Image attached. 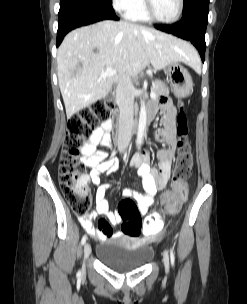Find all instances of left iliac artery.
<instances>
[{"label": "left iliac artery", "instance_id": "obj_1", "mask_svg": "<svg viewBox=\"0 0 247 304\" xmlns=\"http://www.w3.org/2000/svg\"><path fill=\"white\" fill-rule=\"evenodd\" d=\"M170 259L172 266H174L175 257H174L173 249L170 250Z\"/></svg>", "mask_w": 247, "mask_h": 304}]
</instances>
